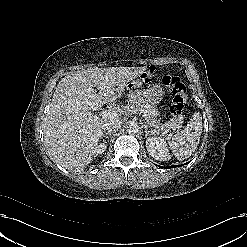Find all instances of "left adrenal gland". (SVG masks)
<instances>
[{"instance_id":"a2214340","label":"left adrenal gland","mask_w":247,"mask_h":247,"mask_svg":"<svg viewBox=\"0 0 247 247\" xmlns=\"http://www.w3.org/2000/svg\"><path fill=\"white\" fill-rule=\"evenodd\" d=\"M143 128L145 129V138H147L149 133H153L152 129H149L148 125L146 123H143Z\"/></svg>"}]
</instances>
